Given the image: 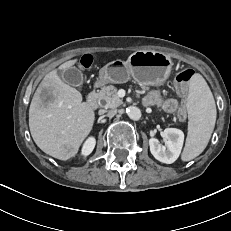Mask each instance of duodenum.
Here are the masks:
<instances>
[{"mask_svg":"<svg viewBox=\"0 0 231 231\" xmlns=\"http://www.w3.org/2000/svg\"><path fill=\"white\" fill-rule=\"evenodd\" d=\"M97 102V94L94 88L88 93L86 103L89 108L95 109L97 107Z\"/></svg>","mask_w":231,"mask_h":231,"instance_id":"410a0bca","label":"duodenum"}]
</instances>
